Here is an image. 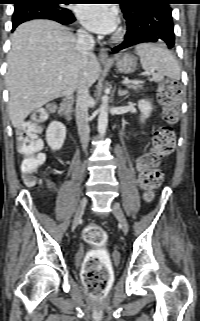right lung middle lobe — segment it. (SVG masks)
<instances>
[{
    "label": "right lung middle lobe",
    "mask_w": 200,
    "mask_h": 321,
    "mask_svg": "<svg viewBox=\"0 0 200 321\" xmlns=\"http://www.w3.org/2000/svg\"><path fill=\"white\" fill-rule=\"evenodd\" d=\"M38 1L61 10H66V8L63 7L61 4L67 5L69 2V0H38Z\"/></svg>",
    "instance_id": "1"
}]
</instances>
